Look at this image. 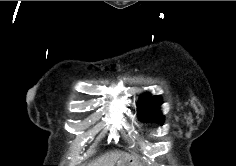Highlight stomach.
<instances>
[{
  "mask_svg": "<svg viewBox=\"0 0 236 166\" xmlns=\"http://www.w3.org/2000/svg\"><path fill=\"white\" fill-rule=\"evenodd\" d=\"M117 166H136L132 159L121 160Z\"/></svg>",
  "mask_w": 236,
  "mask_h": 166,
  "instance_id": "1",
  "label": "stomach"
}]
</instances>
